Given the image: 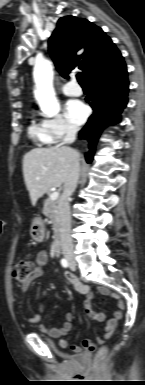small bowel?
<instances>
[{
	"label": "small bowel",
	"mask_w": 145,
	"mask_h": 385,
	"mask_svg": "<svg viewBox=\"0 0 145 385\" xmlns=\"http://www.w3.org/2000/svg\"><path fill=\"white\" fill-rule=\"evenodd\" d=\"M48 259H49V254L47 251L42 250V251L38 252V254L36 256L37 266L35 267L31 281L42 276L43 267L47 264ZM65 279L70 285L73 286L74 290L77 293L82 294L86 297V301L84 304L85 313L90 319L100 321V322L107 320V315L105 313L94 311L91 308V299L93 297V291L91 290V288L88 285L81 283L78 280L77 276L74 275L73 273H70V272H65ZM30 282L28 284H22L20 286V290H21L22 294L27 292V290L30 286ZM99 292L103 296H108V297L114 299L116 307H117V310L113 313L112 317L110 319H108L107 325L103 331V334L98 340L99 343H104L111 337L114 329L117 327L119 321L121 320L122 315H123L122 311L125 308V303L119 294L113 292L108 287H101L99 289ZM45 309H46V300H42L40 303V313L36 314V315L28 316L27 320L30 323L39 324V330L41 333L46 334L52 338L59 339L60 346L63 348H66L69 344H68V341L66 339H64L63 337L68 332L71 331V329L73 327V322L75 319V314L73 312L67 313L66 320H65L63 326L61 328H52V327H49L45 324L40 323L41 314L44 313ZM88 345L94 346V344L91 341H88V340L84 341V346L87 347ZM72 350L76 353H80L81 347L78 345H73Z\"/></svg>",
	"instance_id": "small-bowel-1"
}]
</instances>
